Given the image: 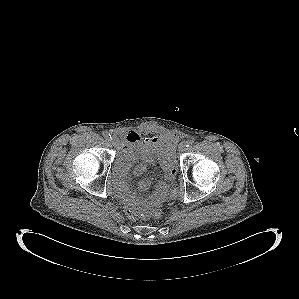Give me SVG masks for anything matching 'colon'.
<instances>
[{"label": "colon", "mask_w": 299, "mask_h": 299, "mask_svg": "<svg viewBox=\"0 0 299 299\" xmlns=\"http://www.w3.org/2000/svg\"><path fill=\"white\" fill-rule=\"evenodd\" d=\"M180 192L178 189H174L170 193V198L171 199H176L178 198ZM124 211L129 216L130 218L133 219H147V218H159L162 215V209L159 207L156 208H150V209H145L142 208L141 206H138L136 204L128 203L124 206Z\"/></svg>", "instance_id": "colon-1"}]
</instances>
